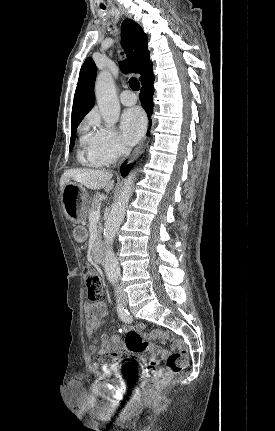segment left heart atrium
I'll use <instances>...</instances> for the list:
<instances>
[{"label":"left heart atrium","mask_w":275,"mask_h":431,"mask_svg":"<svg viewBox=\"0 0 275 431\" xmlns=\"http://www.w3.org/2000/svg\"><path fill=\"white\" fill-rule=\"evenodd\" d=\"M146 117L139 108L126 110L121 117L122 137L126 144H135L146 129Z\"/></svg>","instance_id":"obj_1"}]
</instances>
